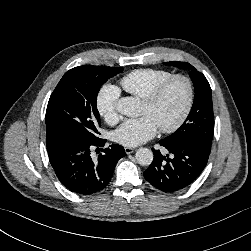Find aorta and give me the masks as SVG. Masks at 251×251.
Masks as SVG:
<instances>
[{"label": "aorta", "instance_id": "1", "mask_svg": "<svg viewBox=\"0 0 251 251\" xmlns=\"http://www.w3.org/2000/svg\"><path fill=\"white\" fill-rule=\"evenodd\" d=\"M140 103L136 98L123 97L116 106L119 113L128 117L137 116L139 113ZM136 160L141 166H149L153 161V152L148 148H140L136 152Z\"/></svg>", "mask_w": 251, "mask_h": 251}]
</instances>
